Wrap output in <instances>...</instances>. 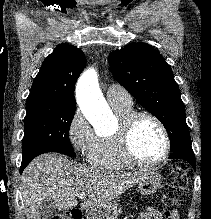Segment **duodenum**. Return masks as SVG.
<instances>
[{
    "label": "duodenum",
    "mask_w": 211,
    "mask_h": 219,
    "mask_svg": "<svg viewBox=\"0 0 211 219\" xmlns=\"http://www.w3.org/2000/svg\"><path fill=\"white\" fill-rule=\"evenodd\" d=\"M99 213V211L94 210V209H88L86 211L88 219H94V217Z\"/></svg>",
    "instance_id": "duodenum-1"
}]
</instances>
